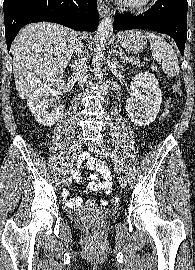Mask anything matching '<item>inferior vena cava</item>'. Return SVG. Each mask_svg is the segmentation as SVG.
Masks as SVG:
<instances>
[{
    "mask_svg": "<svg viewBox=\"0 0 195 270\" xmlns=\"http://www.w3.org/2000/svg\"><path fill=\"white\" fill-rule=\"evenodd\" d=\"M83 44L79 39L76 40L75 51L78 57L82 54ZM75 73L74 77L78 80L79 85L83 88L84 84L87 83L88 75H87V65L86 59L84 57L78 58L74 63Z\"/></svg>",
    "mask_w": 195,
    "mask_h": 270,
    "instance_id": "602c4592",
    "label": "inferior vena cava"
}]
</instances>
